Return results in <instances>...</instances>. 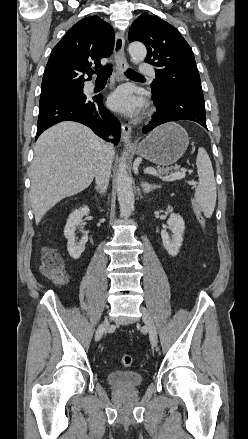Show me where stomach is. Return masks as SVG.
Segmentation results:
<instances>
[{"instance_id": "obj_1", "label": "stomach", "mask_w": 248, "mask_h": 439, "mask_svg": "<svg viewBox=\"0 0 248 439\" xmlns=\"http://www.w3.org/2000/svg\"><path fill=\"white\" fill-rule=\"evenodd\" d=\"M189 145L186 130L175 122L163 124L137 147V154L160 166H169L178 161Z\"/></svg>"}]
</instances>
